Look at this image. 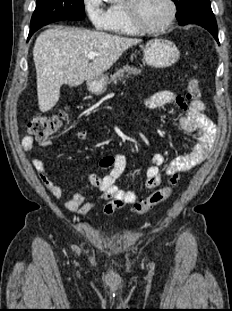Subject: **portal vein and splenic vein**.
<instances>
[{
  "mask_svg": "<svg viewBox=\"0 0 232 311\" xmlns=\"http://www.w3.org/2000/svg\"><path fill=\"white\" fill-rule=\"evenodd\" d=\"M97 53L96 52H89L87 54L88 59H94L96 57Z\"/></svg>",
  "mask_w": 232,
  "mask_h": 311,
  "instance_id": "portal-vein-and-splenic-vein-1",
  "label": "portal vein and splenic vein"
}]
</instances>
